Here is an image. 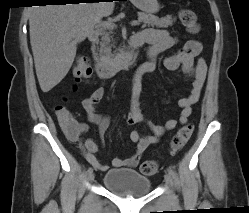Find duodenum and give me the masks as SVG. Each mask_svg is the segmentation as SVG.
Returning <instances> with one entry per match:
<instances>
[{"label":"duodenum","instance_id":"1","mask_svg":"<svg viewBox=\"0 0 249 213\" xmlns=\"http://www.w3.org/2000/svg\"><path fill=\"white\" fill-rule=\"evenodd\" d=\"M91 43L96 44L99 40V33L93 31L89 34ZM138 47L136 37L129 40L128 49L124 51L117 59L110 61L98 60L94 64V69L100 78L106 79L115 75L118 71L131 67L135 60V48ZM139 76V74H137Z\"/></svg>","mask_w":249,"mask_h":213}]
</instances>
